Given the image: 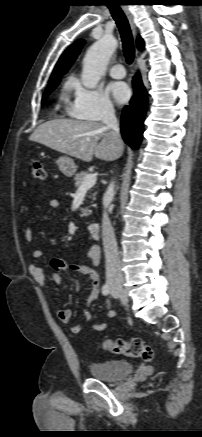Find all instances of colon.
I'll return each mask as SVG.
<instances>
[{
	"label": "colon",
	"mask_w": 202,
	"mask_h": 437,
	"mask_svg": "<svg viewBox=\"0 0 202 437\" xmlns=\"http://www.w3.org/2000/svg\"><path fill=\"white\" fill-rule=\"evenodd\" d=\"M31 176L32 178L39 180L45 178V170L41 162L34 161L32 163ZM103 349L118 355L140 358L145 362H150L154 357L153 348L140 338H133L130 341L122 339L106 340L103 343Z\"/></svg>",
	"instance_id": "colon-1"
}]
</instances>
